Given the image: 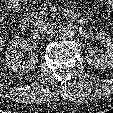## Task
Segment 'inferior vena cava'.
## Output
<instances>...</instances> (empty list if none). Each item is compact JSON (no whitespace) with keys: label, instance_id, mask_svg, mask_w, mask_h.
I'll return each instance as SVG.
<instances>
[{"label":"inferior vena cava","instance_id":"602c4592","mask_svg":"<svg viewBox=\"0 0 113 113\" xmlns=\"http://www.w3.org/2000/svg\"><path fill=\"white\" fill-rule=\"evenodd\" d=\"M53 29V23L47 22V23H40L36 29L37 32L41 34L49 33Z\"/></svg>","mask_w":113,"mask_h":113}]
</instances>
